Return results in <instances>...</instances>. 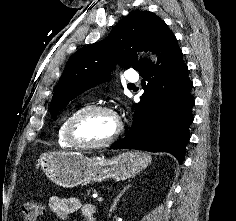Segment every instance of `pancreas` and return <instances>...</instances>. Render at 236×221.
I'll return each mask as SVG.
<instances>
[{
	"instance_id": "obj_1",
	"label": "pancreas",
	"mask_w": 236,
	"mask_h": 221,
	"mask_svg": "<svg viewBox=\"0 0 236 221\" xmlns=\"http://www.w3.org/2000/svg\"><path fill=\"white\" fill-rule=\"evenodd\" d=\"M91 191H94V192H95L96 190H95V189L87 190V193L85 194V196H86V197L89 196V194H90Z\"/></svg>"
}]
</instances>
